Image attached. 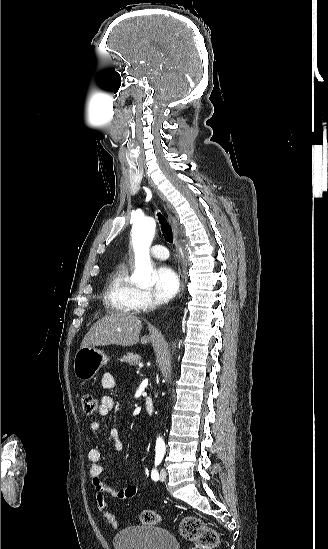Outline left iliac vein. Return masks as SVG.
<instances>
[{"instance_id":"obj_1","label":"left iliac vein","mask_w":328,"mask_h":549,"mask_svg":"<svg viewBox=\"0 0 328 549\" xmlns=\"http://www.w3.org/2000/svg\"><path fill=\"white\" fill-rule=\"evenodd\" d=\"M166 477H167L166 470H165L164 468H162V469L160 470V480H161V481H164V480L166 479Z\"/></svg>"}]
</instances>
